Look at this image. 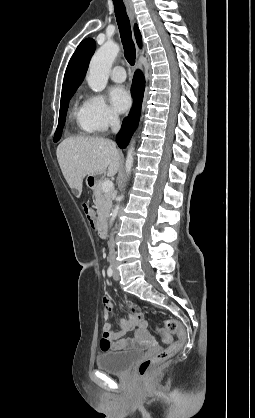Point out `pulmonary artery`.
<instances>
[{"label": "pulmonary artery", "mask_w": 255, "mask_h": 418, "mask_svg": "<svg viewBox=\"0 0 255 418\" xmlns=\"http://www.w3.org/2000/svg\"><path fill=\"white\" fill-rule=\"evenodd\" d=\"M111 79L115 82H123L126 79V72L122 66H115L110 73Z\"/></svg>", "instance_id": "pulmonary-artery-1"}]
</instances>
